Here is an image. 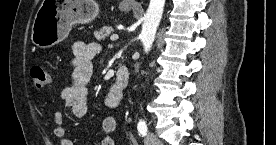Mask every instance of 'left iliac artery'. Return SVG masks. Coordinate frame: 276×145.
Segmentation results:
<instances>
[{
    "label": "left iliac artery",
    "instance_id": "44dca946",
    "mask_svg": "<svg viewBox=\"0 0 276 145\" xmlns=\"http://www.w3.org/2000/svg\"><path fill=\"white\" fill-rule=\"evenodd\" d=\"M137 129L139 132V135L141 136H145L147 133V123L145 122V120L140 119L137 125Z\"/></svg>",
    "mask_w": 276,
    "mask_h": 145
}]
</instances>
